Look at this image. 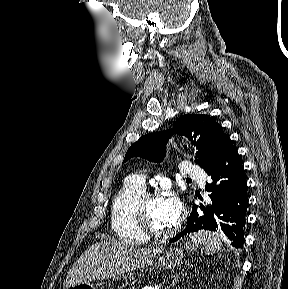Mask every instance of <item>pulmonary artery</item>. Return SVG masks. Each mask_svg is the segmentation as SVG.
<instances>
[{
    "mask_svg": "<svg viewBox=\"0 0 288 289\" xmlns=\"http://www.w3.org/2000/svg\"><path fill=\"white\" fill-rule=\"evenodd\" d=\"M181 175L183 177L197 180L201 186L204 185L207 179L206 174L201 169L195 167L192 163L187 161L181 164ZM130 180L136 182L142 187H145V177L142 174L134 175L130 177Z\"/></svg>",
    "mask_w": 288,
    "mask_h": 289,
    "instance_id": "obj_1",
    "label": "pulmonary artery"
}]
</instances>
